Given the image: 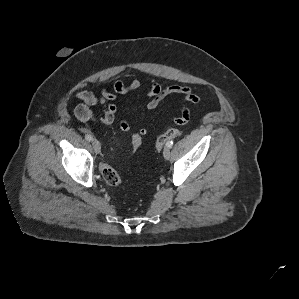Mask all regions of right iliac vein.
<instances>
[{"label":"right iliac vein","mask_w":299,"mask_h":299,"mask_svg":"<svg viewBox=\"0 0 299 299\" xmlns=\"http://www.w3.org/2000/svg\"><path fill=\"white\" fill-rule=\"evenodd\" d=\"M92 146H93L96 153L100 152L101 146H100V143H99L98 140L92 139Z\"/></svg>","instance_id":"63e3f726"}]
</instances>
